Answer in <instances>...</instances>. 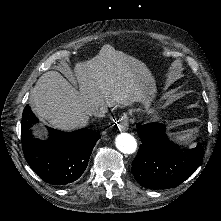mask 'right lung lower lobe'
<instances>
[{"label": "right lung lower lobe", "instance_id": "1", "mask_svg": "<svg viewBox=\"0 0 221 221\" xmlns=\"http://www.w3.org/2000/svg\"><path fill=\"white\" fill-rule=\"evenodd\" d=\"M38 119L26 105L22 115L21 138L26 161L45 182L65 185L77 180L85 171L100 134L90 129L62 132L47 127L49 138H34L31 128Z\"/></svg>", "mask_w": 221, "mask_h": 221}]
</instances>
